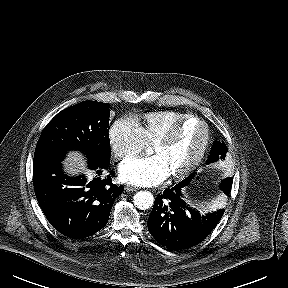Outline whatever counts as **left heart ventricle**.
Returning <instances> with one entry per match:
<instances>
[{
  "instance_id": "obj_1",
  "label": "left heart ventricle",
  "mask_w": 288,
  "mask_h": 288,
  "mask_svg": "<svg viewBox=\"0 0 288 288\" xmlns=\"http://www.w3.org/2000/svg\"><path fill=\"white\" fill-rule=\"evenodd\" d=\"M204 137V126L191 120L179 130L171 143L152 146L151 153L164 160L171 175L179 173L197 157Z\"/></svg>"
}]
</instances>
